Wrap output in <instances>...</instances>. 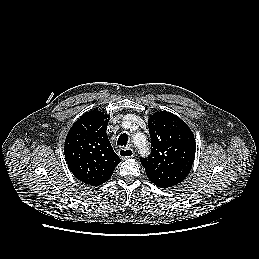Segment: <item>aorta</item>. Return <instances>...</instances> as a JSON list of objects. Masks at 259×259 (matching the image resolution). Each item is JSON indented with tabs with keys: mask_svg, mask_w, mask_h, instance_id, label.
I'll use <instances>...</instances> for the list:
<instances>
[{
	"mask_svg": "<svg viewBox=\"0 0 259 259\" xmlns=\"http://www.w3.org/2000/svg\"><path fill=\"white\" fill-rule=\"evenodd\" d=\"M135 145L138 147L141 154H147L148 153V144L146 140V136L142 133H137L133 137Z\"/></svg>",
	"mask_w": 259,
	"mask_h": 259,
	"instance_id": "aorta-1",
	"label": "aorta"
}]
</instances>
